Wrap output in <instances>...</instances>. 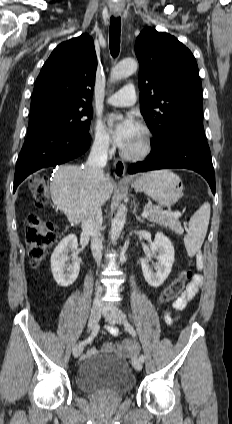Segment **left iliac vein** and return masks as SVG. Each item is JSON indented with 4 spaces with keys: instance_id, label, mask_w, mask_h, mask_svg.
I'll use <instances>...</instances> for the list:
<instances>
[{
    "instance_id": "4c4485c4",
    "label": "left iliac vein",
    "mask_w": 232,
    "mask_h": 424,
    "mask_svg": "<svg viewBox=\"0 0 232 424\" xmlns=\"http://www.w3.org/2000/svg\"><path fill=\"white\" fill-rule=\"evenodd\" d=\"M103 316L106 318V320L111 324H124L126 321L125 314L119 310V309H109V310H103ZM132 365L135 370L141 371L142 370V361L138 358H133Z\"/></svg>"
}]
</instances>
